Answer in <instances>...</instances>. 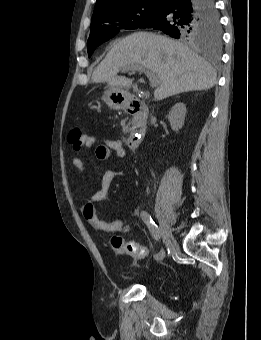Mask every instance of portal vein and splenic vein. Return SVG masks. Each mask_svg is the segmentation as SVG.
Segmentation results:
<instances>
[{"mask_svg":"<svg viewBox=\"0 0 261 340\" xmlns=\"http://www.w3.org/2000/svg\"><path fill=\"white\" fill-rule=\"evenodd\" d=\"M127 71L144 72L146 76L149 78L150 85L152 88H156L159 85V80H157L156 75L149 69H146V67L144 66L134 65V66L122 69V72H127Z\"/></svg>","mask_w":261,"mask_h":340,"instance_id":"portal-vein-and-splenic-vein-1","label":"portal vein and splenic vein"}]
</instances>
